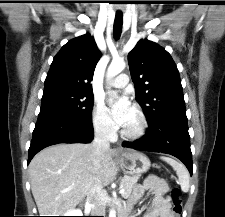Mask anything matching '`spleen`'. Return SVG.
<instances>
[{
	"label": "spleen",
	"instance_id": "1",
	"mask_svg": "<svg viewBox=\"0 0 225 217\" xmlns=\"http://www.w3.org/2000/svg\"><path fill=\"white\" fill-rule=\"evenodd\" d=\"M161 160L167 162L176 171L179 179V183L183 192H188L189 190V173L186 167L174 160L173 158L161 156Z\"/></svg>",
	"mask_w": 225,
	"mask_h": 217
}]
</instances>
